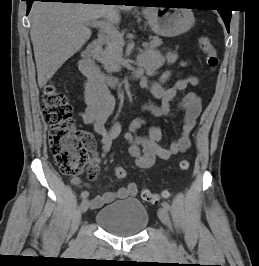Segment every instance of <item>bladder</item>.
I'll list each match as a JSON object with an SVG mask.
<instances>
[{"mask_svg":"<svg viewBox=\"0 0 259 266\" xmlns=\"http://www.w3.org/2000/svg\"><path fill=\"white\" fill-rule=\"evenodd\" d=\"M96 223L107 232L120 237L141 233L149 221L146 207L137 199H125L98 210Z\"/></svg>","mask_w":259,"mask_h":266,"instance_id":"obj_1","label":"bladder"}]
</instances>
